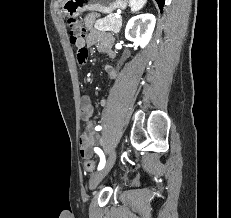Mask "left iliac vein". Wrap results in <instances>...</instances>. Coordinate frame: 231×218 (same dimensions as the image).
Segmentation results:
<instances>
[{
	"instance_id": "left-iliac-vein-1",
	"label": "left iliac vein",
	"mask_w": 231,
	"mask_h": 218,
	"mask_svg": "<svg viewBox=\"0 0 231 218\" xmlns=\"http://www.w3.org/2000/svg\"><path fill=\"white\" fill-rule=\"evenodd\" d=\"M115 159H116V151L112 150L109 153L105 166L100 171L96 172L91 176L89 181L90 189H95L97 185L102 181V179L108 174V172L114 165Z\"/></svg>"
}]
</instances>
